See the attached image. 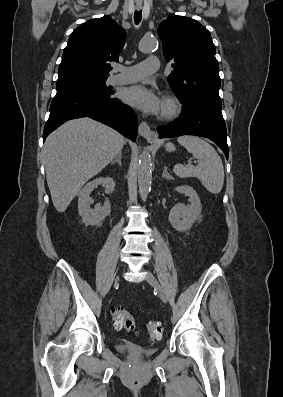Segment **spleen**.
<instances>
[{
  "instance_id": "obj_1",
  "label": "spleen",
  "mask_w": 283,
  "mask_h": 397,
  "mask_svg": "<svg viewBox=\"0 0 283 397\" xmlns=\"http://www.w3.org/2000/svg\"><path fill=\"white\" fill-rule=\"evenodd\" d=\"M177 142L198 159V165L176 164L174 173L180 178L196 177L209 192L220 193L224 183V168L216 150L197 136H181Z\"/></svg>"
}]
</instances>
